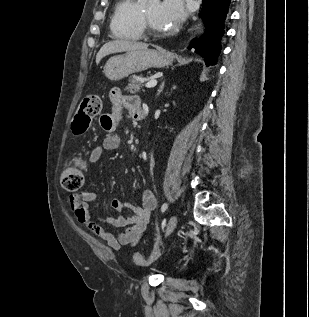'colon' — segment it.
Wrapping results in <instances>:
<instances>
[{"instance_id":"1","label":"colon","mask_w":309,"mask_h":317,"mask_svg":"<svg viewBox=\"0 0 309 317\" xmlns=\"http://www.w3.org/2000/svg\"><path fill=\"white\" fill-rule=\"evenodd\" d=\"M102 100L97 95H89L85 97L75 115L72 122V129L76 134H84L89 128L93 119L101 113ZM85 163L78 157L68 159L60 174V183L62 188L67 192H77L84 183ZM137 264H144V258L134 255Z\"/></svg>"}]
</instances>
